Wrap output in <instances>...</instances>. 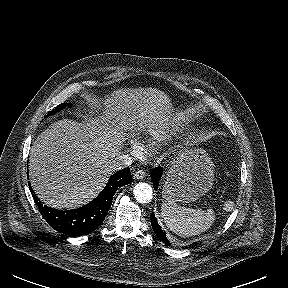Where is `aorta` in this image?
I'll return each mask as SVG.
<instances>
[{
  "label": "aorta",
  "instance_id": "obj_1",
  "mask_svg": "<svg viewBox=\"0 0 288 288\" xmlns=\"http://www.w3.org/2000/svg\"><path fill=\"white\" fill-rule=\"evenodd\" d=\"M133 194L139 203H149L153 198L152 187L145 182L137 183L133 188Z\"/></svg>",
  "mask_w": 288,
  "mask_h": 288
}]
</instances>
